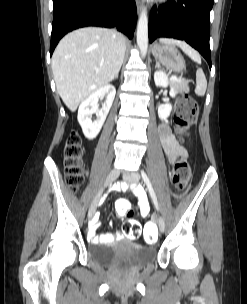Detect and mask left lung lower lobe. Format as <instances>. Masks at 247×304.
<instances>
[{
    "mask_svg": "<svg viewBox=\"0 0 247 304\" xmlns=\"http://www.w3.org/2000/svg\"><path fill=\"white\" fill-rule=\"evenodd\" d=\"M214 0H168L153 8L149 17V40L169 37L186 41L198 50L211 68L210 11Z\"/></svg>",
    "mask_w": 247,
    "mask_h": 304,
    "instance_id": "obj_1",
    "label": "left lung lower lobe"
}]
</instances>
